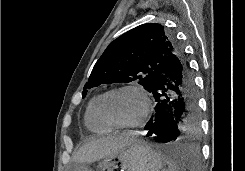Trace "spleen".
<instances>
[{
    "label": "spleen",
    "mask_w": 245,
    "mask_h": 171,
    "mask_svg": "<svg viewBox=\"0 0 245 171\" xmlns=\"http://www.w3.org/2000/svg\"><path fill=\"white\" fill-rule=\"evenodd\" d=\"M168 168L165 171H179L178 165L171 159H166Z\"/></svg>",
    "instance_id": "1"
}]
</instances>
